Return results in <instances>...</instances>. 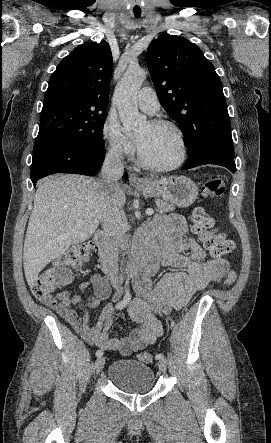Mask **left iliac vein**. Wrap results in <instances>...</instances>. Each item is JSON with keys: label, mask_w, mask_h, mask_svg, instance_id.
Returning a JSON list of instances; mask_svg holds the SVG:
<instances>
[{"label": "left iliac vein", "mask_w": 271, "mask_h": 443, "mask_svg": "<svg viewBox=\"0 0 271 443\" xmlns=\"http://www.w3.org/2000/svg\"><path fill=\"white\" fill-rule=\"evenodd\" d=\"M158 367L161 371L165 372L167 369V361L165 358L160 359L158 362Z\"/></svg>", "instance_id": "left-iliac-vein-1"}]
</instances>
